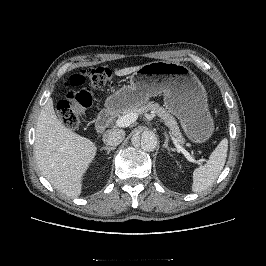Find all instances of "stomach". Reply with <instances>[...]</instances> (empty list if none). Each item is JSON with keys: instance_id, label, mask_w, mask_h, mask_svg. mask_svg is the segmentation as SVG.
I'll return each mask as SVG.
<instances>
[{"instance_id": "1", "label": "stomach", "mask_w": 266, "mask_h": 266, "mask_svg": "<svg viewBox=\"0 0 266 266\" xmlns=\"http://www.w3.org/2000/svg\"><path fill=\"white\" fill-rule=\"evenodd\" d=\"M163 93L164 106L175 115L193 143L206 142L213 134L214 123L208 110L207 93L184 64L155 61L142 65L124 85L106 100L109 110L144 106L150 97Z\"/></svg>"}]
</instances>
